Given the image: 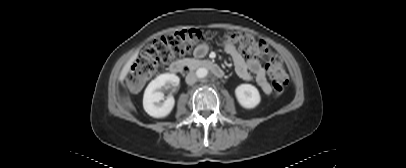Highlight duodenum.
<instances>
[{"label":"duodenum","instance_id":"410a0bca","mask_svg":"<svg viewBox=\"0 0 406 168\" xmlns=\"http://www.w3.org/2000/svg\"><path fill=\"white\" fill-rule=\"evenodd\" d=\"M198 68L209 69L218 78H223L225 75L223 69L218 64L209 60L175 61L170 64L169 71L171 73H188Z\"/></svg>","mask_w":406,"mask_h":168}]
</instances>
